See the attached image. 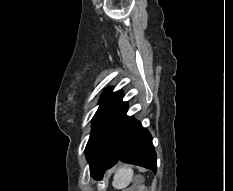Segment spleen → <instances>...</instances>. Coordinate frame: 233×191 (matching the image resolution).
Masks as SVG:
<instances>
[{
  "label": "spleen",
  "mask_w": 233,
  "mask_h": 191,
  "mask_svg": "<svg viewBox=\"0 0 233 191\" xmlns=\"http://www.w3.org/2000/svg\"><path fill=\"white\" fill-rule=\"evenodd\" d=\"M132 177H133V171L131 169L126 167L119 168L114 175L112 185L116 189H124L130 184ZM123 191H128V190H123Z\"/></svg>",
  "instance_id": "3e777b00"
}]
</instances>
